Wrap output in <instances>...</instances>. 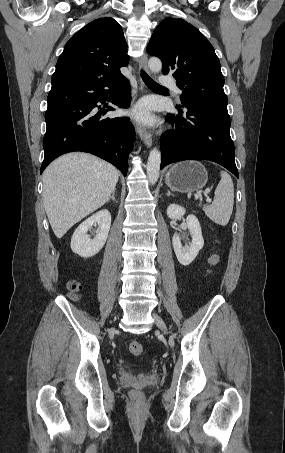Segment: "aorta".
<instances>
[{"instance_id": "1", "label": "aorta", "mask_w": 285, "mask_h": 453, "mask_svg": "<svg viewBox=\"0 0 285 453\" xmlns=\"http://www.w3.org/2000/svg\"><path fill=\"white\" fill-rule=\"evenodd\" d=\"M148 66L150 70L154 73H158L162 69L161 60L152 57L148 61ZM160 164H161V153L157 148H153L148 157L147 162V178L151 184H155L159 178V171H160Z\"/></svg>"}]
</instances>
